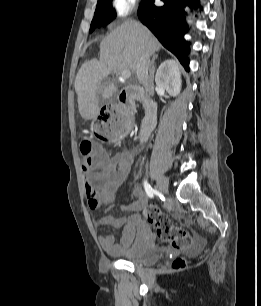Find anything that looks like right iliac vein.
<instances>
[{
    "instance_id": "1",
    "label": "right iliac vein",
    "mask_w": 261,
    "mask_h": 306,
    "mask_svg": "<svg viewBox=\"0 0 261 306\" xmlns=\"http://www.w3.org/2000/svg\"><path fill=\"white\" fill-rule=\"evenodd\" d=\"M157 186H158L159 190H161L162 192H167L168 191V180L161 173H158V175H157Z\"/></svg>"
}]
</instances>
